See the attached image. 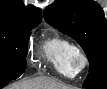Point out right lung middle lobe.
Segmentation results:
<instances>
[{
  "mask_svg": "<svg viewBox=\"0 0 107 89\" xmlns=\"http://www.w3.org/2000/svg\"><path fill=\"white\" fill-rule=\"evenodd\" d=\"M36 27V26H34ZM34 27L0 23V87L21 76L26 67L27 43Z\"/></svg>",
  "mask_w": 107,
  "mask_h": 89,
  "instance_id": "obj_1",
  "label": "right lung middle lobe"
}]
</instances>
